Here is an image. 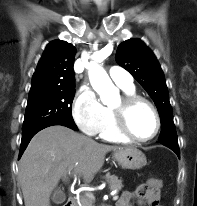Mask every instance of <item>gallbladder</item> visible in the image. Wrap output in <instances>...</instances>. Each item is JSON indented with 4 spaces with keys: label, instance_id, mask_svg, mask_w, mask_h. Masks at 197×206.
Here are the masks:
<instances>
[{
    "label": "gallbladder",
    "instance_id": "obj_1",
    "mask_svg": "<svg viewBox=\"0 0 197 206\" xmlns=\"http://www.w3.org/2000/svg\"><path fill=\"white\" fill-rule=\"evenodd\" d=\"M51 200L55 204H61L66 200V195L60 188H56L52 193Z\"/></svg>",
    "mask_w": 197,
    "mask_h": 206
}]
</instances>
